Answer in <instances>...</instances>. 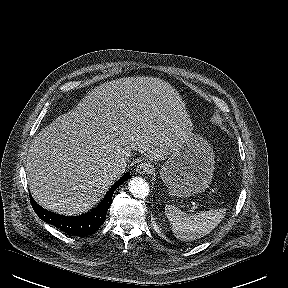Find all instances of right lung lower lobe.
I'll list each match as a JSON object with an SVG mask.
<instances>
[{"label": "right lung lower lobe", "mask_w": 288, "mask_h": 288, "mask_svg": "<svg viewBox=\"0 0 288 288\" xmlns=\"http://www.w3.org/2000/svg\"><path fill=\"white\" fill-rule=\"evenodd\" d=\"M130 178V174L126 172L114 185L109 189L102 202L91 212L80 216H62L52 213L39 206L30 195L31 205L36 214L48 224L54 225L67 234L76 236H88L104 223L106 213L112 202V195L116 188Z\"/></svg>", "instance_id": "obj_1"}]
</instances>
